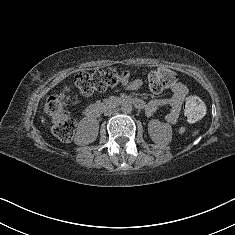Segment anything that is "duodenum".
Returning a JSON list of instances; mask_svg holds the SVG:
<instances>
[{"instance_id": "410a0bca", "label": "duodenum", "mask_w": 235, "mask_h": 235, "mask_svg": "<svg viewBox=\"0 0 235 235\" xmlns=\"http://www.w3.org/2000/svg\"><path fill=\"white\" fill-rule=\"evenodd\" d=\"M120 102L133 104L137 108H142L143 103L138 99L124 98ZM101 113V107L99 105H90L86 109V116L88 118H97Z\"/></svg>"}]
</instances>
